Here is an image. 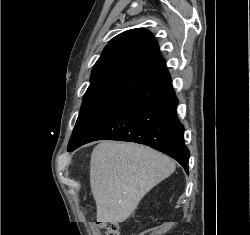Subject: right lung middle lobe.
Segmentation results:
<instances>
[{"label":"right lung middle lobe","mask_w":250,"mask_h":235,"mask_svg":"<svg viewBox=\"0 0 250 235\" xmlns=\"http://www.w3.org/2000/svg\"><path fill=\"white\" fill-rule=\"evenodd\" d=\"M131 96L132 95L108 94L83 98L81 110L68 146L75 144L90 129L117 110Z\"/></svg>","instance_id":"1"}]
</instances>
